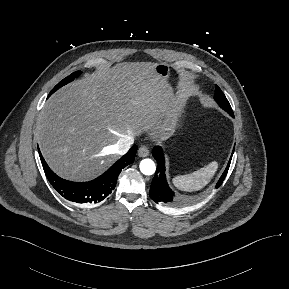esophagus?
Returning a JSON list of instances; mask_svg holds the SVG:
<instances>
[{
    "instance_id": "esophagus-1",
    "label": "esophagus",
    "mask_w": 289,
    "mask_h": 289,
    "mask_svg": "<svg viewBox=\"0 0 289 289\" xmlns=\"http://www.w3.org/2000/svg\"><path fill=\"white\" fill-rule=\"evenodd\" d=\"M138 155L140 157H147L149 155V149L147 146H141L139 149H138Z\"/></svg>"
}]
</instances>
